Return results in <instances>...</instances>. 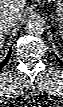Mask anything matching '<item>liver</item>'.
<instances>
[{"mask_svg": "<svg viewBox=\"0 0 63 107\" xmlns=\"http://www.w3.org/2000/svg\"><path fill=\"white\" fill-rule=\"evenodd\" d=\"M26 0H1L0 1V15L2 13L16 15L19 20L25 17L24 7ZM4 39L3 32H0V44Z\"/></svg>", "mask_w": 63, "mask_h": 107, "instance_id": "liver-1", "label": "liver"}]
</instances>
